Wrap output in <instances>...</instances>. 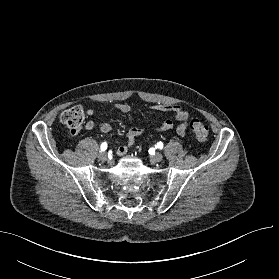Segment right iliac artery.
<instances>
[{
    "instance_id": "1",
    "label": "right iliac artery",
    "mask_w": 279,
    "mask_h": 279,
    "mask_svg": "<svg viewBox=\"0 0 279 279\" xmlns=\"http://www.w3.org/2000/svg\"><path fill=\"white\" fill-rule=\"evenodd\" d=\"M106 149H107V143L104 142V143L101 144L100 150H101V152H103V151H105Z\"/></svg>"
}]
</instances>
